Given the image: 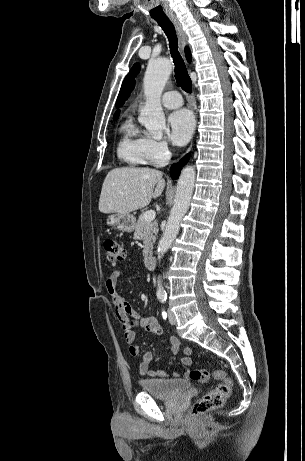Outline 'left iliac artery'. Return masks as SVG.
<instances>
[{"label": "left iliac artery", "instance_id": "1", "mask_svg": "<svg viewBox=\"0 0 305 461\" xmlns=\"http://www.w3.org/2000/svg\"><path fill=\"white\" fill-rule=\"evenodd\" d=\"M158 298L160 299L161 302H165L167 299L166 295H159Z\"/></svg>", "mask_w": 305, "mask_h": 461}]
</instances>
